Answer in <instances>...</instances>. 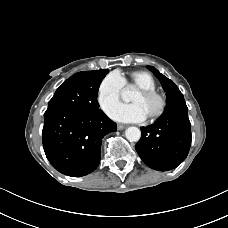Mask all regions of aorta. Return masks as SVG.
Masks as SVG:
<instances>
[{
	"label": "aorta",
	"mask_w": 228,
	"mask_h": 228,
	"mask_svg": "<svg viewBox=\"0 0 228 228\" xmlns=\"http://www.w3.org/2000/svg\"><path fill=\"white\" fill-rule=\"evenodd\" d=\"M131 93H132V91L130 88H126V89L122 90L121 96H122L123 100L126 102L130 101ZM125 136H126L127 140H129L130 142H137V141H139V139L141 137V131L137 127H129L125 131Z\"/></svg>",
	"instance_id": "aorta-1"
}]
</instances>
